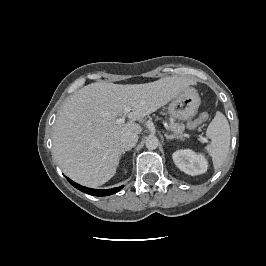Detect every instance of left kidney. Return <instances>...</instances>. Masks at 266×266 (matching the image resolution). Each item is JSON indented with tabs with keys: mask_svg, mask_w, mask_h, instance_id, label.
I'll return each mask as SVG.
<instances>
[{
	"mask_svg": "<svg viewBox=\"0 0 266 266\" xmlns=\"http://www.w3.org/2000/svg\"><path fill=\"white\" fill-rule=\"evenodd\" d=\"M172 157L175 165L186 174L195 176L207 171L208 162L206 158L190 149L177 150Z\"/></svg>",
	"mask_w": 266,
	"mask_h": 266,
	"instance_id": "5707ae66",
	"label": "left kidney"
}]
</instances>
